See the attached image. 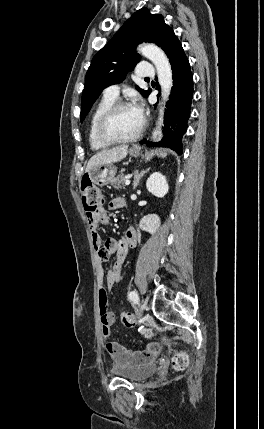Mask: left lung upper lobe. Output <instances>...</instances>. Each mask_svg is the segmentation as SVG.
Returning <instances> with one entry per match:
<instances>
[{"instance_id": "5c2ea615", "label": "left lung upper lobe", "mask_w": 264, "mask_h": 429, "mask_svg": "<svg viewBox=\"0 0 264 429\" xmlns=\"http://www.w3.org/2000/svg\"><path fill=\"white\" fill-rule=\"evenodd\" d=\"M172 30L160 14H151L142 8L135 12L117 31L112 39L93 57L85 78L81 101V122L104 88L125 79L140 60L136 46L142 42H153L161 47L167 33ZM136 88L147 97L151 90Z\"/></svg>"}]
</instances>
